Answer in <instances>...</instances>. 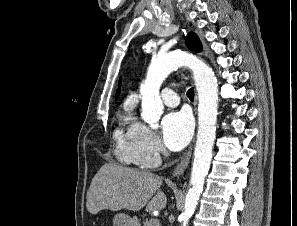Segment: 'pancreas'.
Here are the masks:
<instances>
[{
  "label": "pancreas",
  "instance_id": "obj_1",
  "mask_svg": "<svg viewBox=\"0 0 297 226\" xmlns=\"http://www.w3.org/2000/svg\"><path fill=\"white\" fill-rule=\"evenodd\" d=\"M145 226H160V223H159V221H158L156 224H154V223H152L151 220H150V221H146Z\"/></svg>",
  "mask_w": 297,
  "mask_h": 226
}]
</instances>
